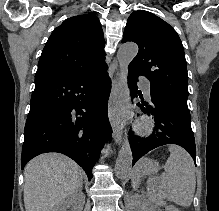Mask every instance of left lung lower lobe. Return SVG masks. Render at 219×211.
I'll return each mask as SVG.
<instances>
[{
    "instance_id": "1",
    "label": "left lung lower lobe",
    "mask_w": 219,
    "mask_h": 211,
    "mask_svg": "<svg viewBox=\"0 0 219 211\" xmlns=\"http://www.w3.org/2000/svg\"><path fill=\"white\" fill-rule=\"evenodd\" d=\"M138 76L136 73L129 72L131 97L141 98L136 105L148 115L152 114L156 123L153 133L148 138H141L134 134L130 136L133 165L149 151L166 144L182 146L195 159V139L189 109L178 101L162 94H155L151 90L150 98L144 101L141 92H136Z\"/></svg>"
}]
</instances>
